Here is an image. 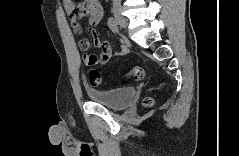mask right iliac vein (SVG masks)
I'll return each instance as SVG.
<instances>
[{"label":"right iliac vein","mask_w":239,"mask_h":156,"mask_svg":"<svg viewBox=\"0 0 239 156\" xmlns=\"http://www.w3.org/2000/svg\"><path fill=\"white\" fill-rule=\"evenodd\" d=\"M115 20L117 23L120 25L121 28H126V22L125 18L121 14V9L120 8H115L113 11Z\"/></svg>","instance_id":"63e3f726"}]
</instances>
